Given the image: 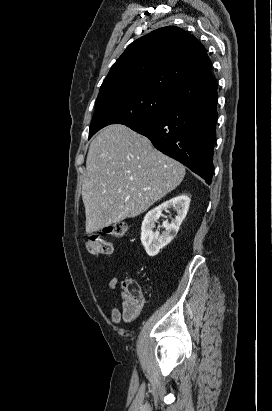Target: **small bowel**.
Returning a JSON list of instances; mask_svg holds the SVG:
<instances>
[{
	"instance_id": "1",
	"label": "small bowel",
	"mask_w": 272,
	"mask_h": 411,
	"mask_svg": "<svg viewBox=\"0 0 272 411\" xmlns=\"http://www.w3.org/2000/svg\"><path fill=\"white\" fill-rule=\"evenodd\" d=\"M118 277L116 275L112 276L108 282V286L111 291H115L118 287ZM111 319L114 324H119L122 319V313L121 310L117 307L114 306L111 310Z\"/></svg>"
}]
</instances>
